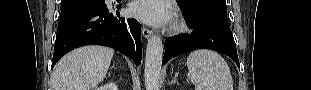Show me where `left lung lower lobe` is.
Listing matches in <instances>:
<instances>
[{
  "mask_svg": "<svg viewBox=\"0 0 311 90\" xmlns=\"http://www.w3.org/2000/svg\"><path fill=\"white\" fill-rule=\"evenodd\" d=\"M192 27L191 35L181 39H168L165 41V54L162 64L185 52L205 48L228 55L239 66L236 44L230 27L210 21L192 23Z\"/></svg>",
  "mask_w": 311,
  "mask_h": 90,
  "instance_id": "1",
  "label": "left lung lower lobe"
}]
</instances>
